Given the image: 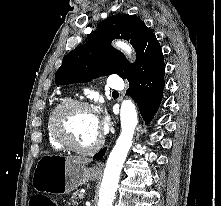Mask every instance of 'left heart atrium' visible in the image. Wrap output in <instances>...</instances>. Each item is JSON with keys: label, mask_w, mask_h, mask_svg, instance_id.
<instances>
[{"label": "left heart atrium", "mask_w": 221, "mask_h": 206, "mask_svg": "<svg viewBox=\"0 0 221 206\" xmlns=\"http://www.w3.org/2000/svg\"><path fill=\"white\" fill-rule=\"evenodd\" d=\"M96 126L99 132H103L107 130L108 127V117L105 114L102 115H94Z\"/></svg>", "instance_id": "obj_1"}]
</instances>
